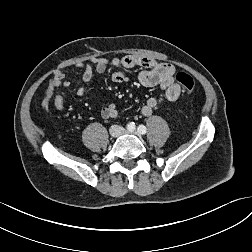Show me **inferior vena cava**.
<instances>
[{
  "mask_svg": "<svg viewBox=\"0 0 252 252\" xmlns=\"http://www.w3.org/2000/svg\"><path fill=\"white\" fill-rule=\"evenodd\" d=\"M118 129H119L118 132H114L113 130H110V132H111L112 134H114L115 136H119V135L121 134V132H122V128H121V127H118Z\"/></svg>",
  "mask_w": 252,
  "mask_h": 252,
  "instance_id": "inferior-vena-cava-1",
  "label": "inferior vena cava"
}]
</instances>
